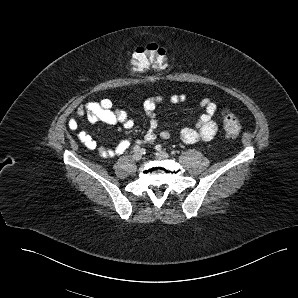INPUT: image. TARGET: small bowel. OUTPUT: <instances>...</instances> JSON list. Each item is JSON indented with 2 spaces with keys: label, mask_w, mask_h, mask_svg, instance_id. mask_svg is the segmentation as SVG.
<instances>
[{
  "label": "small bowel",
  "mask_w": 298,
  "mask_h": 298,
  "mask_svg": "<svg viewBox=\"0 0 298 298\" xmlns=\"http://www.w3.org/2000/svg\"><path fill=\"white\" fill-rule=\"evenodd\" d=\"M165 98L163 96H154L148 98L143 103V108L149 117V128L146 131L142 140H137V143H153L158 137L167 140L171 137L170 132L164 130L157 134L158 119L156 116V108ZM173 104L182 103L186 100L184 94H173L167 99ZM200 107L204 110L198 118L195 128H184L180 132V139L186 144H194L199 141L212 140L218 130L217 124V103L209 98H203L199 102ZM89 122H103L109 125H122L125 129H132L134 121L129 117L127 112L120 109H114L110 99H102L98 102H90L80 106L74 117L69 120V126L72 130H77L79 123L82 120ZM78 140L89 150L97 151L102 157L111 158L123 154L129 147L130 141L127 139L121 140L113 148H106L98 145L93 137L85 131L77 133Z\"/></svg>",
  "instance_id": "small-bowel-1"
}]
</instances>
